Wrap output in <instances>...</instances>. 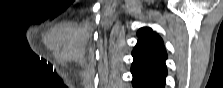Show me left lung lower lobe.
Wrapping results in <instances>:
<instances>
[{
    "label": "left lung lower lobe",
    "instance_id": "0a47b994",
    "mask_svg": "<svg viewBox=\"0 0 223 88\" xmlns=\"http://www.w3.org/2000/svg\"><path fill=\"white\" fill-rule=\"evenodd\" d=\"M134 88H164L167 70L145 61L134 60L131 67Z\"/></svg>",
    "mask_w": 223,
    "mask_h": 88
}]
</instances>
